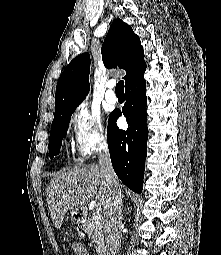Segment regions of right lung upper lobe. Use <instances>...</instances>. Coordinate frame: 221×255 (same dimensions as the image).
Returning a JSON list of instances; mask_svg holds the SVG:
<instances>
[{"label": "right lung upper lobe", "mask_w": 221, "mask_h": 255, "mask_svg": "<svg viewBox=\"0 0 221 255\" xmlns=\"http://www.w3.org/2000/svg\"><path fill=\"white\" fill-rule=\"evenodd\" d=\"M102 58L106 68L124 69L125 85L146 65L139 37L120 19H115L102 45ZM90 55L81 54L64 69L56 87L55 116L75 110L89 92Z\"/></svg>", "instance_id": "obj_1"}]
</instances>
